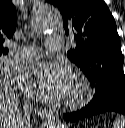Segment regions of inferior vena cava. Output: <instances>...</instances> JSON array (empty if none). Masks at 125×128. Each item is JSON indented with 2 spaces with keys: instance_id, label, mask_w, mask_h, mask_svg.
Returning a JSON list of instances; mask_svg holds the SVG:
<instances>
[{
  "instance_id": "602c4592",
  "label": "inferior vena cava",
  "mask_w": 125,
  "mask_h": 128,
  "mask_svg": "<svg viewBox=\"0 0 125 128\" xmlns=\"http://www.w3.org/2000/svg\"><path fill=\"white\" fill-rule=\"evenodd\" d=\"M25 115H20L19 117V125L20 128H26L31 116L32 107L29 105H25L24 107Z\"/></svg>"
}]
</instances>
